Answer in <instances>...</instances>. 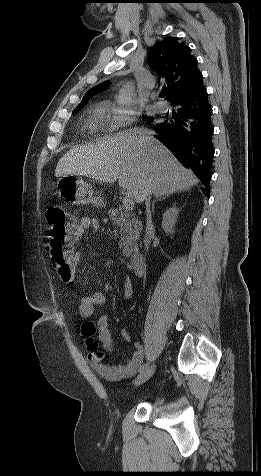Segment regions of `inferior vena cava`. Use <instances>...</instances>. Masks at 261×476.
Masks as SVG:
<instances>
[{
    "label": "inferior vena cava",
    "instance_id": "inferior-vena-cava-1",
    "mask_svg": "<svg viewBox=\"0 0 261 476\" xmlns=\"http://www.w3.org/2000/svg\"><path fill=\"white\" fill-rule=\"evenodd\" d=\"M145 205H146V216H147V227H146V235H145V248L148 250L151 235H152V220H151V212H150V193L146 192L145 197Z\"/></svg>",
    "mask_w": 261,
    "mask_h": 476
}]
</instances>
